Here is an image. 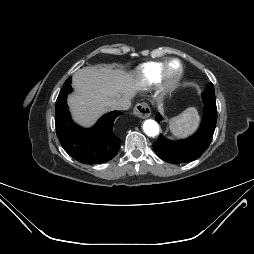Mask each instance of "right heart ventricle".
<instances>
[{"label":"right heart ventricle","instance_id":"obj_1","mask_svg":"<svg viewBox=\"0 0 254 254\" xmlns=\"http://www.w3.org/2000/svg\"><path fill=\"white\" fill-rule=\"evenodd\" d=\"M166 61L148 62L139 69V78L144 86H152L160 81L162 69Z\"/></svg>","mask_w":254,"mask_h":254}]
</instances>
